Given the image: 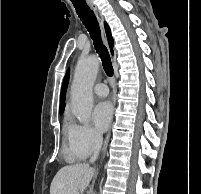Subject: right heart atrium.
<instances>
[{
	"mask_svg": "<svg viewBox=\"0 0 201 194\" xmlns=\"http://www.w3.org/2000/svg\"><path fill=\"white\" fill-rule=\"evenodd\" d=\"M67 138L69 152L80 158L89 156L102 145L100 133L86 123L70 124Z\"/></svg>",
	"mask_w": 201,
	"mask_h": 194,
	"instance_id": "d8ad5b80",
	"label": "right heart atrium"
}]
</instances>
